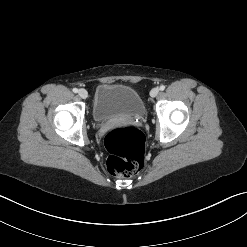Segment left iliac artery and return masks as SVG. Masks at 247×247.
Instances as JSON below:
<instances>
[{
	"instance_id": "44dca946",
	"label": "left iliac artery",
	"mask_w": 247,
	"mask_h": 247,
	"mask_svg": "<svg viewBox=\"0 0 247 247\" xmlns=\"http://www.w3.org/2000/svg\"><path fill=\"white\" fill-rule=\"evenodd\" d=\"M165 89V86L164 85H161L160 86V90L163 91Z\"/></svg>"
}]
</instances>
